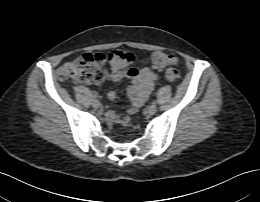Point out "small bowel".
<instances>
[{
    "mask_svg": "<svg viewBox=\"0 0 260 202\" xmlns=\"http://www.w3.org/2000/svg\"><path fill=\"white\" fill-rule=\"evenodd\" d=\"M124 75L130 79L128 95L132 102V107L127 110V113L133 114L136 113L139 107H141L147 100L148 96L152 92L154 83L158 79V75L149 68H131L125 72H121L117 68L113 67L111 75L113 81L120 82ZM108 98L114 100L116 98V93L110 91L108 93ZM106 117L108 126H112L114 123L125 124L128 122V116L126 114L117 113L115 111H109L106 114Z\"/></svg>",
    "mask_w": 260,
    "mask_h": 202,
    "instance_id": "c3829d8e",
    "label": "small bowel"
}]
</instances>
